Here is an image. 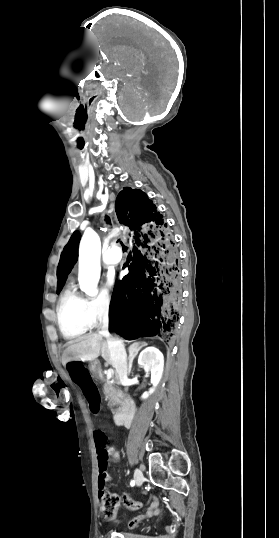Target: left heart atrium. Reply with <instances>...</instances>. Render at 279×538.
<instances>
[{
	"label": "left heart atrium",
	"instance_id": "39dd6f15",
	"mask_svg": "<svg viewBox=\"0 0 279 538\" xmlns=\"http://www.w3.org/2000/svg\"><path fill=\"white\" fill-rule=\"evenodd\" d=\"M114 282H115V278L113 276H110L109 279H108V285L113 286Z\"/></svg>",
	"mask_w": 279,
	"mask_h": 538
}]
</instances>
